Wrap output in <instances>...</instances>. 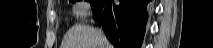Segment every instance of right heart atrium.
Wrapping results in <instances>:
<instances>
[{
  "label": "right heart atrium",
  "instance_id": "1",
  "mask_svg": "<svg viewBox=\"0 0 213 48\" xmlns=\"http://www.w3.org/2000/svg\"><path fill=\"white\" fill-rule=\"evenodd\" d=\"M90 10V3L82 1L78 2L73 10V14L77 19H83L85 18Z\"/></svg>",
  "mask_w": 213,
  "mask_h": 48
}]
</instances>
